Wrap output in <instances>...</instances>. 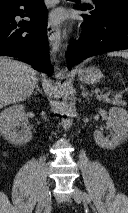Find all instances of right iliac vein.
Listing matches in <instances>:
<instances>
[{"instance_id": "63e3f726", "label": "right iliac vein", "mask_w": 128, "mask_h": 213, "mask_svg": "<svg viewBox=\"0 0 128 213\" xmlns=\"http://www.w3.org/2000/svg\"><path fill=\"white\" fill-rule=\"evenodd\" d=\"M49 200H50L49 185L48 182L45 181L41 190L40 197L38 199L35 213H41L43 208L48 204Z\"/></svg>"}]
</instances>
